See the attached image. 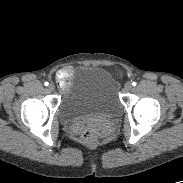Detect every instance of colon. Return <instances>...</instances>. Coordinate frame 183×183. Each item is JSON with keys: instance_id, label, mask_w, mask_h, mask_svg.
Instances as JSON below:
<instances>
[{"instance_id": "1", "label": "colon", "mask_w": 183, "mask_h": 183, "mask_svg": "<svg viewBox=\"0 0 183 183\" xmlns=\"http://www.w3.org/2000/svg\"><path fill=\"white\" fill-rule=\"evenodd\" d=\"M58 83L60 87H65V79L63 76H58ZM81 139L87 146H93L97 142V135L90 128H85L81 132Z\"/></svg>"}]
</instances>
